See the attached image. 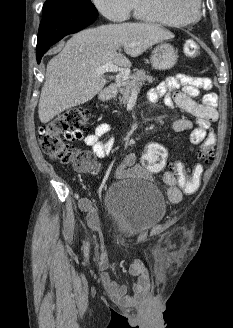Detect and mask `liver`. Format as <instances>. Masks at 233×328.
<instances>
[{"mask_svg": "<svg viewBox=\"0 0 233 328\" xmlns=\"http://www.w3.org/2000/svg\"><path fill=\"white\" fill-rule=\"evenodd\" d=\"M174 34L159 25L120 23L85 29L73 35L46 69L38 106L39 119L47 123L63 111L91 100L106 83L95 70L108 62L128 68L129 59Z\"/></svg>", "mask_w": 233, "mask_h": 328, "instance_id": "6515ba94", "label": "liver"}]
</instances>
